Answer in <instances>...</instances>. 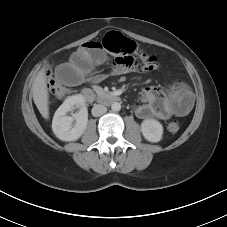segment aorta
<instances>
[{"instance_id":"762f6f07","label":"aorta","mask_w":227,"mask_h":227,"mask_svg":"<svg viewBox=\"0 0 227 227\" xmlns=\"http://www.w3.org/2000/svg\"><path fill=\"white\" fill-rule=\"evenodd\" d=\"M111 109H112V111H114V112L120 111V109H121V104H120L119 102H114V103H112V105H111Z\"/></svg>"}]
</instances>
